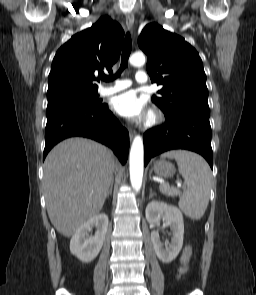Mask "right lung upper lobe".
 <instances>
[{
  "label": "right lung upper lobe",
  "mask_w": 256,
  "mask_h": 295,
  "mask_svg": "<svg viewBox=\"0 0 256 295\" xmlns=\"http://www.w3.org/2000/svg\"><path fill=\"white\" fill-rule=\"evenodd\" d=\"M122 27L108 16L75 34L56 52L48 77L47 99L71 92L95 93L103 71L112 72L123 43Z\"/></svg>",
  "instance_id": "cb5924a9"
}]
</instances>
